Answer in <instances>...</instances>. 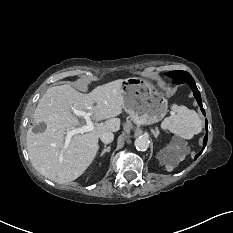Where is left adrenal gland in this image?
Returning a JSON list of instances; mask_svg holds the SVG:
<instances>
[{
  "label": "left adrenal gland",
  "instance_id": "left-adrenal-gland-1",
  "mask_svg": "<svg viewBox=\"0 0 233 233\" xmlns=\"http://www.w3.org/2000/svg\"><path fill=\"white\" fill-rule=\"evenodd\" d=\"M152 132H153L154 136L157 138L158 134L155 132L154 129H152Z\"/></svg>",
  "mask_w": 233,
  "mask_h": 233
}]
</instances>
